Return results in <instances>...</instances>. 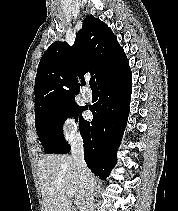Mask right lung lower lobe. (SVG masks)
Listing matches in <instances>:
<instances>
[{"label":"right lung lower lobe","mask_w":178,"mask_h":211,"mask_svg":"<svg viewBox=\"0 0 178 211\" xmlns=\"http://www.w3.org/2000/svg\"><path fill=\"white\" fill-rule=\"evenodd\" d=\"M131 70L110 78L99 85V101L90 110L93 120H84L80 133L84 142V159L91 171L106 179L117 163V150L125 130L131 99ZM70 151L65 144L56 154Z\"/></svg>","instance_id":"right-lung-lower-lobe-1"}]
</instances>
